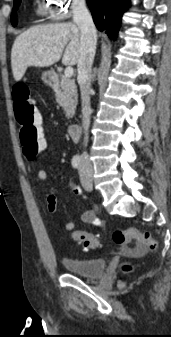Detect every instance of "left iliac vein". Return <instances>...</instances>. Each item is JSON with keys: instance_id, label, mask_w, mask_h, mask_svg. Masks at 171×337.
Instances as JSON below:
<instances>
[{"instance_id": "obj_1", "label": "left iliac vein", "mask_w": 171, "mask_h": 337, "mask_svg": "<svg viewBox=\"0 0 171 337\" xmlns=\"http://www.w3.org/2000/svg\"><path fill=\"white\" fill-rule=\"evenodd\" d=\"M80 180L85 190L90 191L93 184L92 170L90 168H80Z\"/></svg>"}]
</instances>
